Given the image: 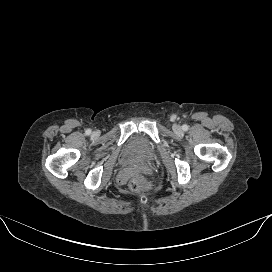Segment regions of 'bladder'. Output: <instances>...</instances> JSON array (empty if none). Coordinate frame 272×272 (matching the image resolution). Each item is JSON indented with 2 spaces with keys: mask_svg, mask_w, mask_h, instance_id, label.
I'll use <instances>...</instances> for the list:
<instances>
[{
  "mask_svg": "<svg viewBox=\"0 0 272 272\" xmlns=\"http://www.w3.org/2000/svg\"><path fill=\"white\" fill-rule=\"evenodd\" d=\"M121 157L124 165L150 163L156 159L157 149L148 136L138 133L127 139Z\"/></svg>",
  "mask_w": 272,
  "mask_h": 272,
  "instance_id": "obj_1",
  "label": "bladder"
}]
</instances>
